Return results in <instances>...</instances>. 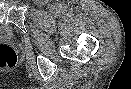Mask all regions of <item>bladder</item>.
Wrapping results in <instances>:
<instances>
[{"label":"bladder","mask_w":131,"mask_h":89,"mask_svg":"<svg viewBox=\"0 0 131 89\" xmlns=\"http://www.w3.org/2000/svg\"><path fill=\"white\" fill-rule=\"evenodd\" d=\"M11 35V30L8 25L0 24V37H8Z\"/></svg>","instance_id":"31cf9c89"}]
</instances>
